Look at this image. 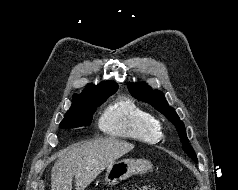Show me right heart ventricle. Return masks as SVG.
Masks as SVG:
<instances>
[{"label": "right heart ventricle", "instance_id": "obj_1", "mask_svg": "<svg viewBox=\"0 0 238 190\" xmlns=\"http://www.w3.org/2000/svg\"><path fill=\"white\" fill-rule=\"evenodd\" d=\"M105 134L154 143L159 140L158 124L153 114L135 100L123 97L108 105L98 121Z\"/></svg>", "mask_w": 238, "mask_h": 190}]
</instances>
